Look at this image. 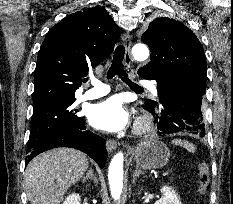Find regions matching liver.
I'll list each match as a JSON object with an SVG mask.
<instances>
[{"mask_svg": "<svg viewBox=\"0 0 233 204\" xmlns=\"http://www.w3.org/2000/svg\"><path fill=\"white\" fill-rule=\"evenodd\" d=\"M88 168L86 156L71 148H58L35 157L25 171L30 204H60L70 186Z\"/></svg>", "mask_w": 233, "mask_h": 204, "instance_id": "obj_1", "label": "liver"}]
</instances>
